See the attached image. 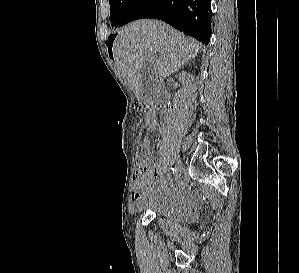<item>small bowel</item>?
<instances>
[{
  "instance_id": "1",
  "label": "small bowel",
  "mask_w": 299,
  "mask_h": 273,
  "mask_svg": "<svg viewBox=\"0 0 299 273\" xmlns=\"http://www.w3.org/2000/svg\"><path fill=\"white\" fill-rule=\"evenodd\" d=\"M146 127L149 131L157 129V117L152 109H148L145 118ZM143 158L139 161V169L134 178V190L132 200L138 201L144 194L152 193L155 188V180L158 176V170L155 164L150 162L152 150H142ZM183 200L182 193L175 188L163 197L164 203L176 204Z\"/></svg>"
}]
</instances>
